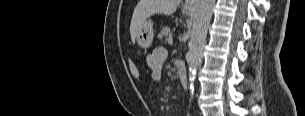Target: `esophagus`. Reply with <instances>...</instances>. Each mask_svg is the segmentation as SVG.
I'll use <instances>...</instances> for the list:
<instances>
[{
    "label": "esophagus",
    "instance_id": "1",
    "mask_svg": "<svg viewBox=\"0 0 305 116\" xmlns=\"http://www.w3.org/2000/svg\"><path fill=\"white\" fill-rule=\"evenodd\" d=\"M197 0H186L183 7L188 10H195Z\"/></svg>",
    "mask_w": 305,
    "mask_h": 116
}]
</instances>
